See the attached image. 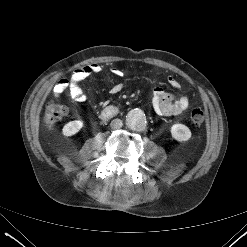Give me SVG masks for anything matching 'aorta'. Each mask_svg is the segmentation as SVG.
<instances>
[{"label": "aorta", "instance_id": "aorta-1", "mask_svg": "<svg viewBox=\"0 0 247 247\" xmlns=\"http://www.w3.org/2000/svg\"><path fill=\"white\" fill-rule=\"evenodd\" d=\"M146 124V117L141 109H132L126 115V125L136 131H141L144 129Z\"/></svg>", "mask_w": 247, "mask_h": 247}]
</instances>
